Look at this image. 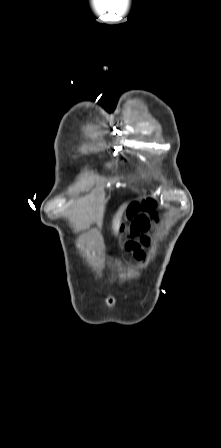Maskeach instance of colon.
I'll list each match as a JSON object with an SVG mask.
<instances>
[{
	"instance_id": "1",
	"label": "colon",
	"mask_w": 221,
	"mask_h": 448,
	"mask_svg": "<svg viewBox=\"0 0 221 448\" xmlns=\"http://www.w3.org/2000/svg\"><path fill=\"white\" fill-rule=\"evenodd\" d=\"M146 210L151 214V215H154V209H153V207L150 205V206H148L147 208H146ZM134 215V213H131V216H133ZM136 224L138 225V226H144V224H145V222H144V220H142V219H137L136 220Z\"/></svg>"
}]
</instances>
